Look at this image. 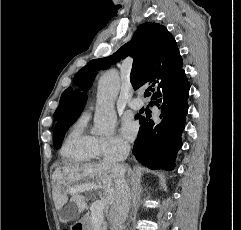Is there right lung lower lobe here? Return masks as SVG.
I'll use <instances>...</instances> for the list:
<instances>
[{"label": "right lung lower lobe", "instance_id": "98d812e1", "mask_svg": "<svg viewBox=\"0 0 241 230\" xmlns=\"http://www.w3.org/2000/svg\"><path fill=\"white\" fill-rule=\"evenodd\" d=\"M189 89L190 84L180 67L152 90L160 115L154 120L148 115L138 117L141 127L133 150L144 166L153 170L174 168L176 154L182 146Z\"/></svg>", "mask_w": 241, "mask_h": 230}]
</instances>
